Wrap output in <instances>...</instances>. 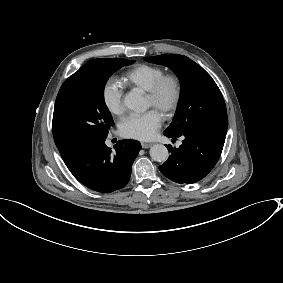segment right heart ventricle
I'll return each mask as SVG.
<instances>
[{"instance_id":"1","label":"right heart ventricle","mask_w":283,"mask_h":283,"mask_svg":"<svg viewBox=\"0 0 283 283\" xmlns=\"http://www.w3.org/2000/svg\"><path fill=\"white\" fill-rule=\"evenodd\" d=\"M162 75H164L162 67L137 63L124 71L122 80L126 85L140 87L147 91Z\"/></svg>"}]
</instances>
